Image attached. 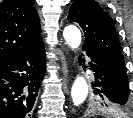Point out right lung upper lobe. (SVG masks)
<instances>
[{
    "label": "right lung upper lobe",
    "instance_id": "cb5924a9",
    "mask_svg": "<svg viewBox=\"0 0 133 118\" xmlns=\"http://www.w3.org/2000/svg\"><path fill=\"white\" fill-rule=\"evenodd\" d=\"M42 42L39 17L30 0L0 3V64Z\"/></svg>",
    "mask_w": 133,
    "mask_h": 118
}]
</instances>
